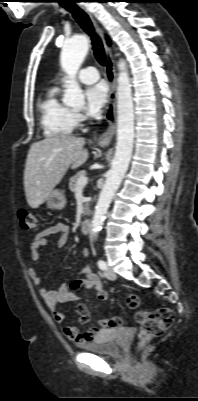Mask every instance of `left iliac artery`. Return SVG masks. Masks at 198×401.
<instances>
[{"label":"left iliac artery","mask_w":198,"mask_h":401,"mask_svg":"<svg viewBox=\"0 0 198 401\" xmlns=\"http://www.w3.org/2000/svg\"><path fill=\"white\" fill-rule=\"evenodd\" d=\"M98 267H99L101 270H105V269L107 268V265H106V263H105L103 260H99V261H98Z\"/></svg>","instance_id":"obj_1"}]
</instances>
